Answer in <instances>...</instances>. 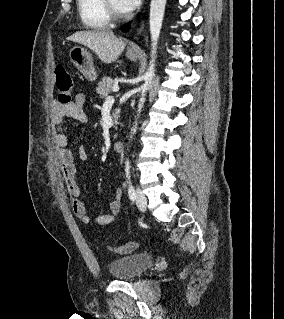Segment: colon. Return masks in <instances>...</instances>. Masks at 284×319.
<instances>
[{"mask_svg":"<svg viewBox=\"0 0 284 319\" xmlns=\"http://www.w3.org/2000/svg\"><path fill=\"white\" fill-rule=\"evenodd\" d=\"M56 75V94L61 105H68L72 99L73 81L72 77L63 65H59L55 69ZM138 247L136 241H131L125 245L118 247H108L115 254H128L135 251Z\"/></svg>","mask_w":284,"mask_h":319,"instance_id":"obj_1","label":"colon"}]
</instances>
